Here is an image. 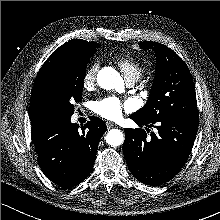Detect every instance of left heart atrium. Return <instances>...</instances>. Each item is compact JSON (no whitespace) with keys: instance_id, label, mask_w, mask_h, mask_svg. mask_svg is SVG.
Here are the masks:
<instances>
[{"instance_id":"obj_1","label":"left heart atrium","mask_w":220,"mask_h":220,"mask_svg":"<svg viewBox=\"0 0 220 220\" xmlns=\"http://www.w3.org/2000/svg\"><path fill=\"white\" fill-rule=\"evenodd\" d=\"M131 104L129 102H122L117 97H106L97 101L94 104V110L100 116L115 120L121 117L124 110H130Z\"/></svg>"}]
</instances>
